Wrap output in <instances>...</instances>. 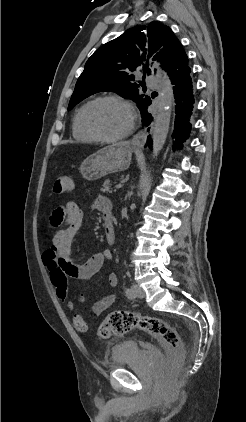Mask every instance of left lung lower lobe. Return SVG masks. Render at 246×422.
<instances>
[{
    "instance_id": "left-lung-lower-lobe-1",
    "label": "left lung lower lobe",
    "mask_w": 246,
    "mask_h": 422,
    "mask_svg": "<svg viewBox=\"0 0 246 422\" xmlns=\"http://www.w3.org/2000/svg\"><path fill=\"white\" fill-rule=\"evenodd\" d=\"M188 63V57L183 46L180 45L166 68L167 75L170 77L172 84H174V98L176 99V116L172 134L175 139L173 142L174 148H181L183 142L188 139L191 131V116L195 109L193 82L190 74L191 69ZM147 107L141 111V117L143 119V125L148 126L153 120V117L147 112ZM147 144L149 146L151 145L150 135L148 136Z\"/></svg>"
}]
</instances>
